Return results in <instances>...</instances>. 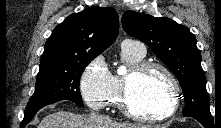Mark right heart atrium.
Masks as SVG:
<instances>
[{"instance_id": "1", "label": "right heart atrium", "mask_w": 221, "mask_h": 128, "mask_svg": "<svg viewBox=\"0 0 221 128\" xmlns=\"http://www.w3.org/2000/svg\"><path fill=\"white\" fill-rule=\"evenodd\" d=\"M112 90V74L106 60L99 55L92 58L81 74L80 93L86 105L94 111L105 109V98Z\"/></svg>"}]
</instances>
